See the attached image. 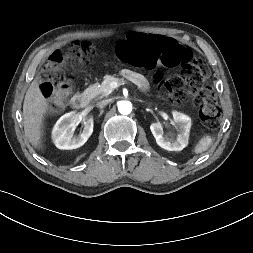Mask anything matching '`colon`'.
Returning a JSON list of instances; mask_svg holds the SVG:
<instances>
[{"instance_id":"1","label":"colon","mask_w":253,"mask_h":253,"mask_svg":"<svg viewBox=\"0 0 253 253\" xmlns=\"http://www.w3.org/2000/svg\"><path fill=\"white\" fill-rule=\"evenodd\" d=\"M96 53L95 47L88 42H73L67 52L55 51L49 56L40 75V89L46 98L52 99L54 107L63 103L71 89V78L63 71V65L68 62L82 66L89 63ZM117 55L134 66L177 69L166 79L161 73H154L152 80L175 103H182L192 95L193 104L205 126L210 129L217 127L220 116L217 98L205 85L208 67L177 41L156 34H131L118 45Z\"/></svg>"}]
</instances>
